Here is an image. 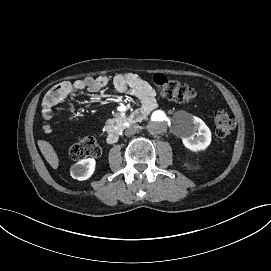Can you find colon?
Masks as SVG:
<instances>
[{
    "label": "colon",
    "mask_w": 271,
    "mask_h": 271,
    "mask_svg": "<svg viewBox=\"0 0 271 271\" xmlns=\"http://www.w3.org/2000/svg\"><path fill=\"white\" fill-rule=\"evenodd\" d=\"M156 90L168 100L175 102H190L196 98V92L189 86L177 81L169 80L164 75L155 74L152 78ZM235 119L225 110H218L214 114L213 132L217 140L228 136L235 127ZM101 153L96 140L91 136H85L79 142L71 146L70 157L73 160H82L88 157H98Z\"/></svg>",
    "instance_id": "5ec220e1"
}]
</instances>
